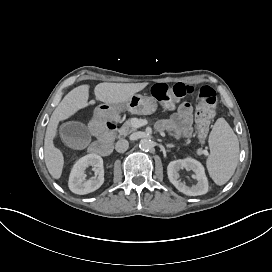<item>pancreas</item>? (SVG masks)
<instances>
[{
	"label": "pancreas",
	"instance_id": "obj_1",
	"mask_svg": "<svg viewBox=\"0 0 272 272\" xmlns=\"http://www.w3.org/2000/svg\"><path fill=\"white\" fill-rule=\"evenodd\" d=\"M132 119L133 118H128L123 126L119 129V134L123 136H127L131 132H134L136 129L132 126ZM185 142L187 143L188 141L185 139Z\"/></svg>",
	"mask_w": 272,
	"mask_h": 272
}]
</instances>
